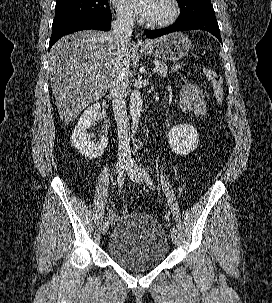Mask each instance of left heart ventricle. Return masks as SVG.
Here are the masks:
<instances>
[{
  "label": "left heart ventricle",
  "mask_w": 272,
  "mask_h": 303,
  "mask_svg": "<svg viewBox=\"0 0 272 303\" xmlns=\"http://www.w3.org/2000/svg\"><path fill=\"white\" fill-rule=\"evenodd\" d=\"M170 13L168 0H154L152 15L148 21H159L166 18Z\"/></svg>",
  "instance_id": "1"
}]
</instances>
